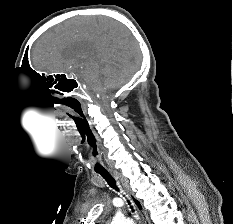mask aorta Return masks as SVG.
Returning <instances> with one entry per match:
<instances>
[{"label":"aorta","mask_w":233,"mask_h":224,"mask_svg":"<svg viewBox=\"0 0 233 224\" xmlns=\"http://www.w3.org/2000/svg\"><path fill=\"white\" fill-rule=\"evenodd\" d=\"M111 224H134L133 220L123 216H116Z\"/></svg>","instance_id":"obj_1"}]
</instances>
